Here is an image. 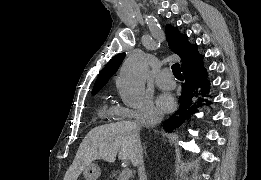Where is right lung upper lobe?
Here are the masks:
<instances>
[{
    "mask_svg": "<svg viewBox=\"0 0 261 180\" xmlns=\"http://www.w3.org/2000/svg\"><path fill=\"white\" fill-rule=\"evenodd\" d=\"M166 38L169 47L181 57V70L189 68L195 64L202 62L204 56L200 55L197 50L196 44H190L187 41V35H182L178 32L177 28L171 25L166 26ZM125 53L115 55L105 66V68L99 74L92 94H96L109 80V78L115 73L123 61Z\"/></svg>",
    "mask_w": 261,
    "mask_h": 180,
    "instance_id": "cb5924a9",
    "label": "right lung upper lobe"
}]
</instances>
